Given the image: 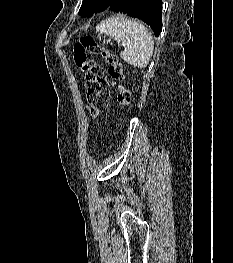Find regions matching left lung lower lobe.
Listing matches in <instances>:
<instances>
[{"instance_id": "obj_1", "label": "left lung lower lobe", "mask_w": 233, "mask_h": 263, "mask_svg": "<svg viewBox=\"0 0 233 263\" xmlns=\"http://www.w3.org/2000/svg\"><path fill=\"white\" fill-rule=\"evenodd\" d=\"M108 10L143 20L150 25L156 36L161 32L162 0H115Z\"/></svg>"}]
</instances>
